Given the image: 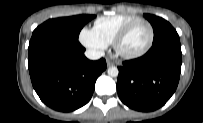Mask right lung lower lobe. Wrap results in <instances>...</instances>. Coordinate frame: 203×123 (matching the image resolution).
Returning a JSON list of instances; mask_svg holds the SVG:
<instances>
[{"instance_id": "1", "label": "right lung lower lobe", "mask_w": 203, "mask_h": 123, "mask_svg": "<svg viewBox=\"0 0 203 123\" xmlns=\"http://www.w3.org/2000/svg\"><path fill=\"white\" fill-rule=\"evenodd\" d=\"M84 51L78 41L50 34L32 35L28 47L29 73L44 104L69 112L89 102L96 79L106 69V61H90Z\"/></svg>"}]
</instances>
